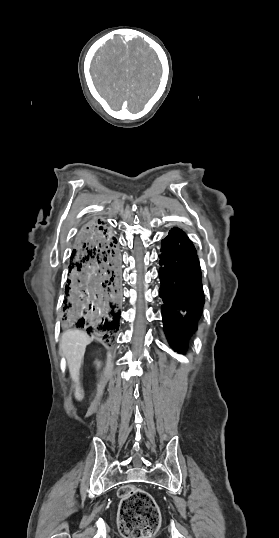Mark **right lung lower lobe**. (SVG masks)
Here are the masks:
<instances>
[{
    "mask_svg": "<svg viewBox=\"0 0 279 538\" xmlns=\"http://www.w3.org/2000/svg\"><path fill=\"white\" fill-rule=\"evenodd\" d=\"M65 287V329L104 334L119 327L121 260L115 234L106 223L86 221L73 241Z\"/></svg>",
    "mask_w": 279,
    "mask_h": 538,
    "instance_id": "98d812e1",
    "label": "right lung lower lobe"
}]
</instances>
